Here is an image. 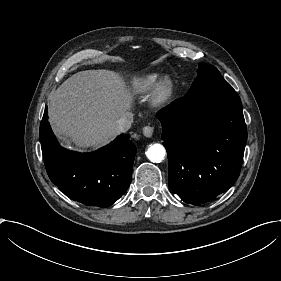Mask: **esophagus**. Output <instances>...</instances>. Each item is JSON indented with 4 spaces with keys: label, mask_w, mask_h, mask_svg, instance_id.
I'll return each instance as SVG.
<instances>
[{
    "label": "esophagus",
    "mask_w": 281,
    "mask_h": 281,
    "mask_svg": "<svg viewBox=\"0 0 281 281\" xmlns=\"http://www.w3.org/2000/svg\"><path fill=\"white\" fill-rule=\"evenodd\" d=\"M143 135L146 136L147 138H150L153 135V128L151 126H145L143 129Z\"/></svg>",
    "instance_id": "obj_1"
}]
</instances>
